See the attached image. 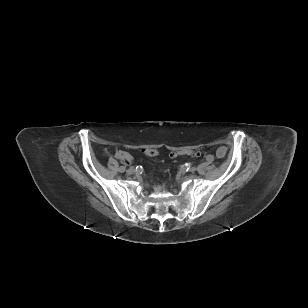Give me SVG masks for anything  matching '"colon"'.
Segmentation results:
<instances>
[{"mask_svg": "<svg viewBox=\"0 0 308 308\" xmlns=\"http://www.w3.org/2000/svg\"><path fill=\"white\" fill-rule=\"evenodd\" d=\"M144 153L147 155V156H156L158 154L157 150L155 149H150V148H147L144 150ZM184 154H188V155H193V156H198L200 153L198 151H188V152H182ZM115 156L124 161V162H129L130 159H131V156L128 152L126 151H123V150H117L116 153H115ZM225 156V155H224ZM223 156V157H224Z\"/></svg>", "mask_w": 308, "mask_h": 308, "instance_id": "obj_1", "label": "colon"}]
</instances>
